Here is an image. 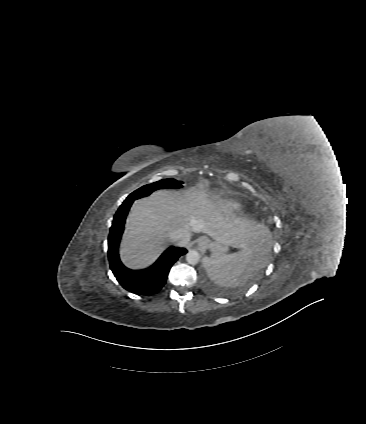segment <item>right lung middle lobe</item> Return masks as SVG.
<instances>
[{
	"mask_svg": "<svg viewBox=\"0 0 366 424\" xmlns=\"http://www.w3.org/2000/svg\"><path fill=\"white\" fill-rule=\"evenodd\" d=\"M181 181H176L175 179H163L152 184L145 185L136 191L132 192L125 201L127 200H135L141 197H145L150 195L153 191L161 188H181Z\"/></svg>",
	"mask_w": 366,
	"mask_h": 424,
	"instance_id": "dd1d6c3e",
	"label": "right lung middle lobe"
}]
</instances>
